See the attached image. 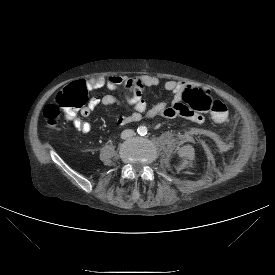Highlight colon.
Listing matches in <instances>:
<instances>
[{"label":"colon","mask_w":275,"mask_h":275,"mask_svg":"<svg viewBox=\"0 0 275 275\" xmlns=\"http://www.w3.org/2000/svg\"><path fill=\"white\" fill-rule=\"evenodd\" d=\"M182 99L189 110L197 115L210 113L218 123H224L229 117V107L221 99L213 98L209 93L199 89H186ZM88 104V95L84 84L73 82L64 87L54 101L45 106L43 117L50 125H56L63 119L72 118L76 112L82 111Z\"/></svg>","instance_id":"obj_1"}]
</instances>
